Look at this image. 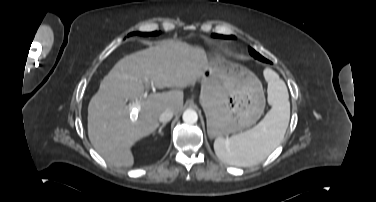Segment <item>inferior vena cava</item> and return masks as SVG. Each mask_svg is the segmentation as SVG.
Wrapping results in <instances>:
<instances>
[{"label": "inferior vena cava", "mask_w": 376, "mask_h": 202, "mask_svg": "<svg viewBox=\"0 0 376 202\" xmlns=\"http://www.w3.org/2000/svg\"><path fill=\"white\" fill-rule=\"evenodd\" d=\"M173 117V112L170 109H166L159 117V121L162 123L169 122Z\"/></svg>", "instance_id": "602c4592"}]
</instances>
